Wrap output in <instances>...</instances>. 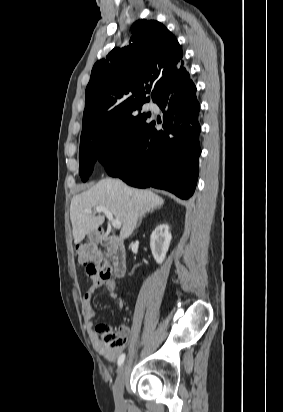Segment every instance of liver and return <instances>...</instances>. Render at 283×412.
Here are the masks:
<instances>
[{
    "instance_id": "obj_1",
    "label": "liver",
    "mask_w": 283,
    "mask_h": 412,
    "mask_svg": "<svg viewBox=\"0 0 283 412\" xmlns=\"http://www.w3.org/2000/svg\"><path fill=\"white\" fill-rule=\"evenodd\" d=\"M163 204L164 199L150 190L130 188L118 179H103L81 194L74 195L71 200L70 219L74 243H80L104 222V216L86 213L85 209L106 207L121 223V239H127L140 217Z\"/></svg>"
}]
</instances>
